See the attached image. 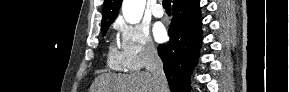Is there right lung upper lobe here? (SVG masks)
<instances>
[{
	"mask_svg": "<svg viewBox=\"0 0 289 92\" xmlns=\"http://www.w3.org/2000/svg\"><path fill=\"white\" fill-rule=\"evenodd\" d=\"M191 0H173V5L184 4ZM122 0H105L103 4L101 28L111 25L116 19Z\"/></svg>",
	"mask_w": 289,
	"mask_h": 92,
	"instance_id": "right-lung-upper-lobe-1",
	"label": "right lung upper lobe"
}]
</instances>
